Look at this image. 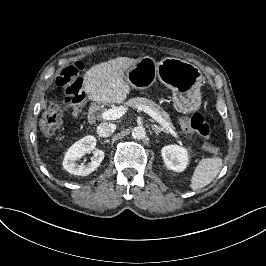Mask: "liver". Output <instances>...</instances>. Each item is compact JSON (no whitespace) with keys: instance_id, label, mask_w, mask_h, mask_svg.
Instances as JSON below:
<instances>
[{"instance_id":"6515ba94","label":"liver","mask_w":266,"mask_h":266,"mask_svg":"<svg viewBox=\"0 0 266 266\" xmlns=\"http://www.w3.org/2000/svg\"><path fill=\"white\" fill-rule=\"evenodd\" d=\"M136 62L133 58L117 57L92 66L83 77L88 98L101 103H122L130 91L123 80L124 72Z\"/></svg>"}]
</instances>
